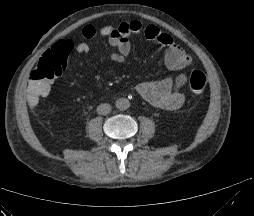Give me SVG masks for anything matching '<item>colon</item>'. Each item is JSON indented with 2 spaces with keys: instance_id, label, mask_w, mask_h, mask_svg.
Segmentation results:
<instances>
[{
  "instance_id": "colon-1",
  "label": "colon",
  "mask_w": 254,
  "mask_h": 216,
  "mask_svg": "<svg viewBox=\"0 0 254 216\" xmlns=\"http://www.w3.org/2000/svg\"><path fill=\"white\" fill-rule=\"evenodd\" d=\"M67 56L60 50L45 52L39 59L31 76L25 84V95L31 101H42L50 93L53 80L62 75L67 68ZM206 75L200 69L189 74V86L193 94H201L206 86Z\"/></svg>"
}]
</instances>
